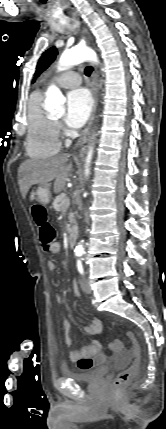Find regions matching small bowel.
I'll return each instance as SVG.
<instances>
[{"mask_svg":"<svg viewBox=\"0 0 166 429\" xmlns=\"http://www.w3.org/2000/svg\"><path fill=\"white\" fill-rule=\"evenodd\" d=\"M60 249H61L60 244L58 242H55L54 244L51 245V247L48 250L52 254H57L60 252ZM47 266L50 271H54L56 269V264L54 261H49ZM72 287L75 294L79 295L78 286L75 282L73 283ZM57 301L61 302V299L58 297ZM70 330H71L70 322L68 320H64L63 321L64 338H65V343L67 347L70 349L69 351L70 360L73 363H75L76 366L81 370H88L101 365L106 359L104 353L102 352L101 342L99 340H93L87 346L81 347L79 349H73L72 342L70 339ZM101 330H102L101 323L97 319L92 320L91 322L86 323L83 326V331L89 335H98L101 333Z\"/></svg>","mask_w":166,"mask_h":429,"instance_id":"c3829d8e","label":"small bowel"}]
</instances>
